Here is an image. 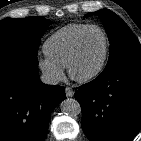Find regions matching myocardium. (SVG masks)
<instances>
[{
    "label": "myocardium",
    "mask_w": 141,
    "mask_h": 141,
    "mask_svg": "<svg viewBox=\"0 0 141 141\" xmlns=\"http://www.w3.org/2000/svg\"><path fill=\"white\" fill-rule=\"evenodd\" d=\"M93 29L100 31L104 37L105 47H104L103 57H102V60L99 64V66L94 71H92L89 74L81 76V75L76 74V72L74 70V66H75V63L79 57L84 37L86 36V34L89 31H91ZM109 50H110V40H109V37H108L106 31L98 25H89L78 36V38L75 42L74 48L72 50V53L70 55V58H69V61L67 64L70 77L73 80L80 82V83H87V82H90V81L94 80L95 78H97L103 72V70L106 66L108 56H109Z\"/></svg>",
    "instance_id": "myocardium-1"
}]
</instances>
